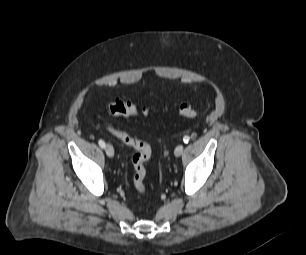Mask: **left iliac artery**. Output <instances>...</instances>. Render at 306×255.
Wrapping results in <instances>:
<instances>
[{"label": "left iliac artery", "instance_id": "1", "mask_svg": "<svg viewBox=\"0 0 306 255\" xmlns=\"http://www.w3.org/2000/svg\"><path fill=\"white\" fill-rule=\"evenodd\" d=\"M189 140H190V137H189V136H184V137H183V142H184V143H188Z\"/></svg>", "mask_w": 306, "mask_h": 255}]
</instances>
